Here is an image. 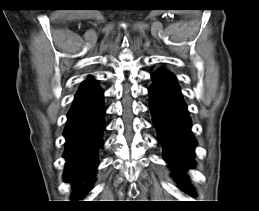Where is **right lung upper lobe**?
<instances>
[{"label": "right lung upper lobe", "mask_w": 259, "mask_h": 211, "mask_svg": "<svg viewBox=\"0 0 259 211\" xmlns=\"http://www.w3.org/2000/svg\"><path fill=\"white\" fill-rule=\"evenodd\" d=\"M92 85H93L92 80H87V81H85V83L83 84V86L80 88L79 91H82V90H84V89H87L88 87H90V86H92Z\"/></svg>", "instance_id": "right-lung-upper-lobe-1"}]
</instances>
